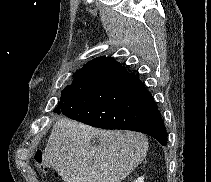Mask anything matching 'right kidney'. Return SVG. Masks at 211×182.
I'll return each mask as SVG.
<instances>
[{"mask_svg":"<svg viewBox=\"0 0 211 182\" xmlns=\"http://www.w3.org/2000/svg\"><path fill=\"white\" fill-rule=\"evenodd\" d=\"M134 182H144V177H139Z\"/></svg>","mask_w":211,"mask_h":182,"instance_id":"ca27d5eb","label":"right kidney"}]
</instances>
